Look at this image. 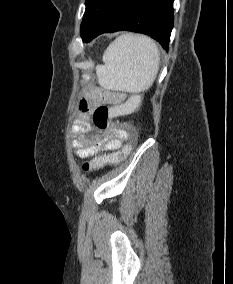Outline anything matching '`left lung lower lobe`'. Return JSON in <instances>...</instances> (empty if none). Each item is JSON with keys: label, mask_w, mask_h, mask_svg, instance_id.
<instances>
[{"label": "left lung lower lobe", "mask_w": 233, "mask_h": 284, "mask_svg": "<svg viewBox=\"0 0 233 284\" xmlns=\"http://www.w3.org/2000/svg\"><path fill=\"white\" fill-rule=\"evenodd\" d=\"M173 1L105 0L82 37L83 42L88 43L102 33L133 31L151 36L167 50L173 28Z\"/></svg>", "instance_id": "0a47b994"}]
</instances>
